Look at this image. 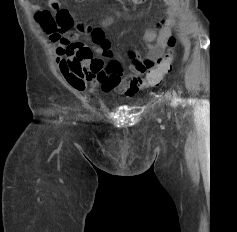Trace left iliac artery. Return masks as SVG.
<instances>
[{
	"label": "left iliac artery",
	"mask_w": 237,
	"mask_h": 232,
	"mask_svg": "<svg viewBox=\"0 0 237 232\" xmlns=\"http://www.w3.org/2000/svg\"><path fill=\"white\" fill-rule=\"evenodd\" d=\"M178 102H179V98H178L176 92L173 91V99H172V104H173V106H177V105H178Z\"/></svg>",
	"instance_id": "left-iliac-artery-1"
}]
</instances>
